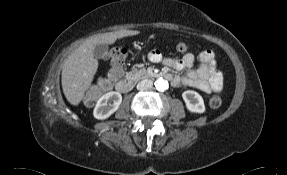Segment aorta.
Masks as SVG:
<instances>
[{"label":"aorta","mask_w":287,"mask_h":175,"mask_svg":"<svg viewBox=\"0 0 287 175\" xmlns=\"http://www.w3.org/2000/svg\"><path fill=\"white\" fill-rule=\"evenodd\" d=\"M169 87L168 82L162 78L158 79L156 82V88L160 91H165Z\"/></svg>","instance_id":"aorta-1"}]
</instances>
